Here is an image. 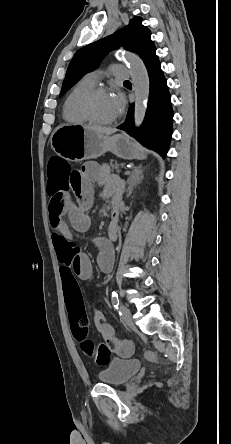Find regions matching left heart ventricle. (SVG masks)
Returning <instances> with one entry per match:
<instances>
[{"mask_svg":"<svg viewBox=\"0 0 231 444\" xmlns=\"http://www.w3.org/2000/svg\"><path fill=\"white\" fill-rule=\"evenodd\" d=\"M92 112L98 120L106 121L117 116L110 94H99L92 101Z\"/></svg>","mask_w":231,"mask_h":444,"instance_id":"left-heart-ventricle-1","label":"left heart ventricle"}]
</instances>
